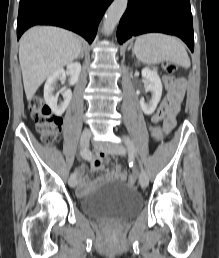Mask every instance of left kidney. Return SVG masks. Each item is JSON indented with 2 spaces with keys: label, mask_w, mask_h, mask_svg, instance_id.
Here are the masks:
<instances>
[{
  "label": "left kidney",
  "mask_w": 219,
  "mask_h": 258,
  "mask_svg": "<svg viewBox=\"0 0 219 258\" xmlns=\"http://www.w3.org/2000/svg\"><path fill=\"white\" fill-rule=\"evenodd\" d=\"M142 76L146 79L147 85L146 90L150 91L152 94L149 103H146L142 98L140 100V106L146 115H151L154 113L162 95V83L157 72L152 71L149 68H144L142 70Z\"/></svg>",
  "instance_id": "1"
}]
</instances>
